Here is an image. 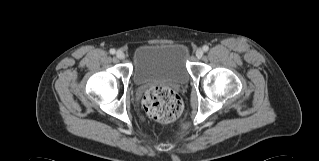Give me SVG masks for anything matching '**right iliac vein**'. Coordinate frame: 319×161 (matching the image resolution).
<instances>
[{
  "label": "right iliac vein",
  "instance_id": "63e3f726",
  "mask_svg": "<svg viewBox=\"0 0 319 161\" xmlns=\"http://www.w3.org/2000/svg\"><path fill=\"white\" fill-rule=\"evenodd\" d=\"M116 57H117L118 59H120V60H123V59H125V54H124V52H122L121 50H118V51L116 52Z\"/></svg>",
  "mask_w": 319,
  "mask_h": 161
}]
</instances>
